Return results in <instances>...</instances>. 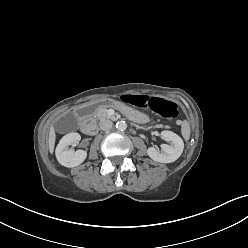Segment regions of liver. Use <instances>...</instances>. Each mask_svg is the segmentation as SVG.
Segmentation results:
<instances>
[{
	"label": "liver",
	"instance_id": "obj_1",
	"mask_svg": "<svg viewBox=\"0 0 248 248\" xmlns=\"http://www.w3.org/2000/svg\"><path fill=\"white\" fill-rule=\"evenodd\" d=\"M55 140H56L55 129H54V127H51L50 132H49V139H48L49 150L51 153L54 150Z\"/></svg>",
	"mask_w": 248,
	"mask_h": 248
}]
</instances>
